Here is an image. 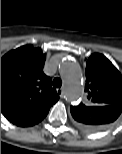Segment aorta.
<instances>
[{"label":"aorta","instance_id":"1","mask_svg":"<svg viewBox=\"0 0 122 154\" xmlns=\"http://www.w3.org/2000/svg\"><path fill=\"white\" fill-rule=\"evenodd\" d=\"M64 79L65 90L70 101L77 100L83 95L80 67L76 61L65 59L59 66Z\"/></svg>","mask_w":122,"mask_h":154}]
</instances>
